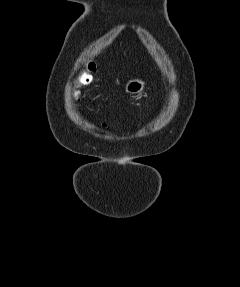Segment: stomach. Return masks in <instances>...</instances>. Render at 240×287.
Masks as SVG:
<instances>
[{
    "instance_id": "obj_1",
    "label": "stomach",
    "mask_w": 240,
    "mask_h": 287,
    "mask_svg": "<svg viewBox=\"0 0 240 287\" xmlns=\"http://www.w3.org/2000/svg\"><path fill=\"white\" fill-rule=\"evenodd\" d=\"M145 83L139 79H130L125 85V91L129 94H139L143 91Z\"/></svg>"
}]
</instances>
